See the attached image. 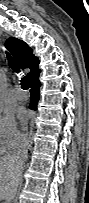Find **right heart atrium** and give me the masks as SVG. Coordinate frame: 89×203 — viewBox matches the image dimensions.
<instances>
[{
	"instance_id": "obj_1",
	"label": "right heart atrium",
	"mask_w": 89,
	"mask_h": 203,
	"mask_svg": "<svg viewBox=\"0 0 89 203\" xmlns=\"http://www.w3.org/2000/svg\"><path fill=\"white\" fill-rule=\"evenodd\" d=\"M24 134L19 130L11 113L0 115V144L5 153L14 151L23 141Z\"/></svg>"
}]
</instances>
